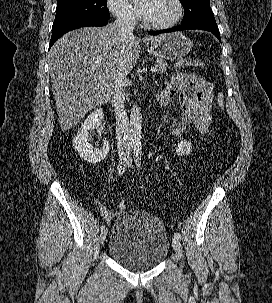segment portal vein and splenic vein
<instances>
[{"label":"portal vein and splenic vein","instance_id":"18ae733b","mask_svg":"<svg viewBox=\"0 0 272 303\" xmlns=\"http://www.w3.org/2000/svg\"><path fill=\"white\" fill-rule=\"evenodd\" d=\"M156 71H157V69H156L155 67H152V68H151V72H152V73H154V72H156Z\"/></svg>","mask_w":272,"mask_h":303}]
</instances>
